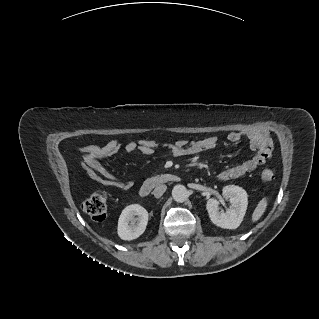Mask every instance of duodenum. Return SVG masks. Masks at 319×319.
I'll list each match as a JSON object with an SVG mask.
<instances>
[{
  "mask_svg": "<svg viewBox=\"0 0 319 319\" xmlns=\"http://www.w3.org/2000/svg\"><path fill=\"white\" fill-rule=\"evenodd\" d=\"M178 177L173 174H158L153 175L147 178L143 184L139 188V195L141 197L148 196L151 191L162 184L169 183V182H176Z\"/></svg>",
  "mask_w": 319,
  "mask_h": 319,
  "instance_id": "duodenum-1",
  "label": "duodenum"
}]
</instances>
